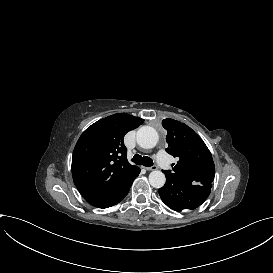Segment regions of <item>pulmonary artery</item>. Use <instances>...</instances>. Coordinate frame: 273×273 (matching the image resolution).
I'll use <instances>...</instances> for the list:
<instances>
[{"label": "pulmonary artery", "mask_w": 273, "mask_h": 273, "mask_svg": "<svg viewBox=\"0 0 273 273\" xmlns=\"http://www.w3.org/2000/svg\"><path fill=\"white\" fill-rule=\"evenodd\" d=\"M157 163L165 173H170L172 171V166L169 162H167L166 152L164 150H159L157 152Z\"/></svg>", "instance_id": "obj_1"}]
</instances>
